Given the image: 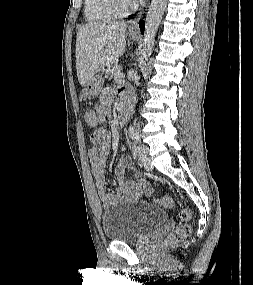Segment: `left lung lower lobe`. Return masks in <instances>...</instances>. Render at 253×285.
Instances as JSON below:
<instances>
[{"instance_id": "1", "label": "left lung lower lobe", "mask_w": 253, "mask_h": 285, "mask_svg": "<svg viewBox=\"0 0 253 285\" xmlns=\"http://www.w3.org/2000/svg\"><path fill=\"white\" fill-rule=\"evenodd\" d=\"M131 18H132V16H129V19H131ZM139 26H140L141 32H142V34H143V33H144V22H143V21H140Z\"/></svg>"}]
</instances>
